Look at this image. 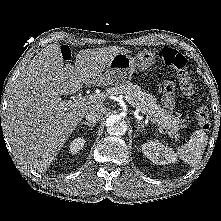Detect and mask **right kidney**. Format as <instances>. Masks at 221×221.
Instances as JSON below:
<instances>
[{"label":"right kidney","mask_w":221,"mask_h":221,"mask_svg":"<svg viewBox=\"0 0 221 221\" xmlns=\"http://www.w3.org/2000/svg\"><path fill=\"white\" fill-rule=\"evenodd\" d=\"M85 139L83 137H76L69 144V152L71 154H77L84 146Z\"/></svg>","instance_id":"obj_1"}]
</instances>
